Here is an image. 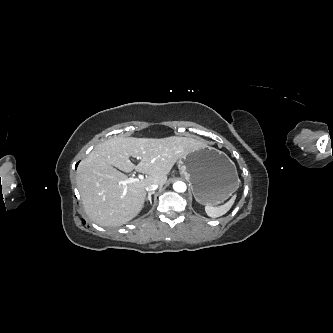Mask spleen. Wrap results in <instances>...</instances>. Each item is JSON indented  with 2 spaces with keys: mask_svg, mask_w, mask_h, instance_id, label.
<instances>
[{
  "mask_svg": "<svg viewBox=\"0 0 333 333\" xmlns=\"http://www.w3.org/2000/svg\"><path fill=\"white\" fill-rule=\"evenodd\" d=\"M240 180L238 179V185H239ZM236 199V195H234L228 202H226L224 205L216 207V206H211V205H206L205 206V212L209 217L216 218L220 217L224 214H226L232 205L234 204Z\"/></svg>",
  "mask_w": 333,
  "mask_h": 333,
  "instance_id": "1",
  "label": "spleen"
}]
</instances>
